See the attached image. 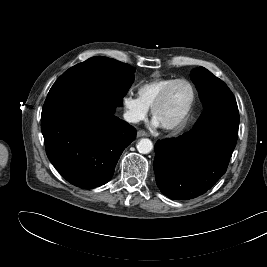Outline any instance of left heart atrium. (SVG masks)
I'll return each instance as SVG.
<instances>
[{
  "mask_svg": "<svg viewBox=\"0 0 267 267\" xmlns=\"http://www.w3.org/2000/svg\"><path fill=\"white\" fill-rule=\"evenodd\" d=\"M153 125H154V126H159L160 124H159V122H158L156 119H154V120H153Z\"/></svg>",
  "mask_w": 267,
  "mask_h": 267,
  "instance_id": "39dd6f15",
  "label": "left heart atrium"
}]
</instances>
